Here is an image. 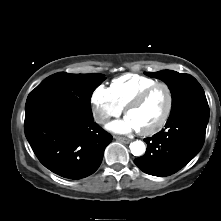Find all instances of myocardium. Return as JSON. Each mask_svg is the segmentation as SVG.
<instances>
[{
    "label": "myocardium",
    "mask_w": 221,
    "mask_h": 221,
    "mask_svg": "<svg viewBox=\"0 0 221 221\" xmlns=\"http://www.w3.org/2000/svg\"><path fill=\"white\" fill-rule=\"evenodd\" d=\"M158 87H163L165 88L168 96V103H167V108L166 111L161 118V120L153 127L146 129V130H139V133L143 136H151L156 133H158L162 128L166 125L168 122L172 110H173V103H174V97H173V92L170 86L164 82H156L147 88H145L142 92H140L136 97H134L124 108V113L127 116L128 113L138 107L140 104H142L148 96Z\"/></svg>",
    "instance_id": "f54148a6"
}]
</instances>
